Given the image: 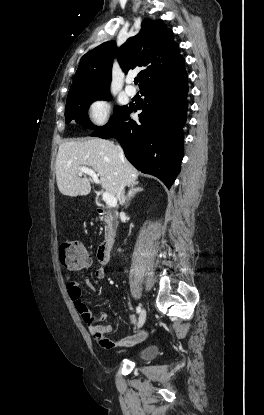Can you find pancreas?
<instances>
[{
  "label": "pancreas",
  "mask_w": 264,
  "mask_h": 415,
  "mask_svg": "<svg viewBox=\"0 0 264 415\" xmlns=\"http://www.w3.org/2000/svg\"><path fill=\"white\" fill-rule=\"evenodd\" d=\"M109 216H102L100 217L101 221L106 223L105 232L107 235H110L115 232V228L117 227L116 216L112 217L111 214Z\"/></svg>",
  "instance_id": "pancreas-1"
}]
</instances>
